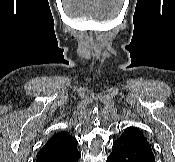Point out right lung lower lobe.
Masks as SVG:
<instances>
[{
  "instance_id": "right-lung-lower-lobe-1",
  "label": "right lung lower lobe",
  "mask_w": 175,
  "mask_h": 162,
  "mask_svg": "<svg viewBox=\"0 0 175 162\" xmlns=\"http://www.w3.org/2000/svg\"><path fill=\"white\" fill-rule=\"evenodd\" d=\"M81 154L77 149L37 156L36 162H78Z\"/></svg>"
}]
</instances>
